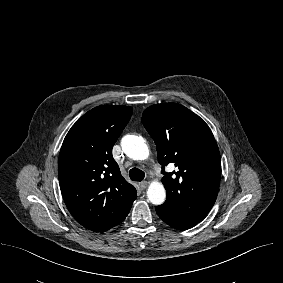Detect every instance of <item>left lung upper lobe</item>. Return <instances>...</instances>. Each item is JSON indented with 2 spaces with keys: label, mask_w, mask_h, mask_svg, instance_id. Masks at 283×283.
I'll use <instances>...</instances> for the list:
<instances>
[{
  "label": "left lung upper lobe",
  "mask_w": 283,
  "mask_h": 283,
  "mask_svg": "<svg viewBox=\"0 0 283 283\" xmlns=\"http://www.w3.org/2000/svg\"><path fill=\"white\" fill-rule=\"evenodd\" d=\"M154 139L158 161L177 171L165 173L166 201L162 213L190 222H201L213 207L221 177L220 153L208 125L195 113L176 103L156 104L142 115Z\"/></svg>",
  "instance_id": "1"
}]
</instances>
